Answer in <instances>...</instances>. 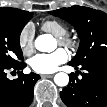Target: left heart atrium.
Returning a JSON list of instances; mask_svg holds the SVG:
<instances>
[{
	"label": "left heart atrium",
	"instance_id": "left-heart-atrium-1",
	"mask_svg": "<svg viewBox=\"0 0 107 107\" xmlns=\"http://www.w3.org/2000/svg\"><path fill=\"white\" fill-rule=\"evenodd\" d=\"M67 59L66 51L57 49L52 53L37 54L31 59L30 66L37 73L49 74L55 72Z\"/></svg>",
	"mask_w": 107,
	"mask_h": 107
}]
</instances>
